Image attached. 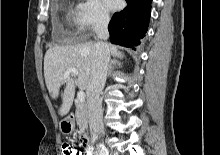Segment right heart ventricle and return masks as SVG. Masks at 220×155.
<instances>
[{"label": "right heart ventricle", "mask_w": 220, "mask_h": 155, "mask_svg": "<svg viewBox=\"0 0 220 155\" xmlns=\"http://www.w3.org/2000/svg\"><path fill=\"white\" fill-rule=\"evenodd\" d=\"M72 17H73V11L70 9V7H68L65 11V22L66 24L70 25L71 21H72Z\"/></svg>", "instance_id": "e07e8e85"}]
</instances>
